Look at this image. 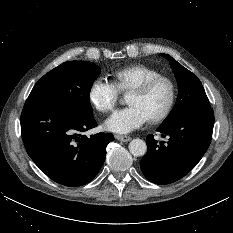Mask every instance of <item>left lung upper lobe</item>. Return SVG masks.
<instances>
[{
  "label": "left lung upper lobe",
  "mask_w": 233,
  "mask_h": 233,
  "mask_svg": "<svg viewBox=\"0 0 233 233\" xmlns=\"http://www.w3.org/2000/svg\"><path fill=\"white\" fill-rule=\"evenodd\" d=\"M160 55L169 61L178 83L176 104L162 125L172 123L192 111L210 109L208 97L200 80L170 55Z\"/></svg>",
  "instance_id": "obj_1"
}]
</instances>
